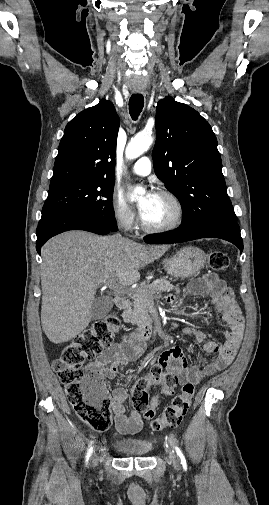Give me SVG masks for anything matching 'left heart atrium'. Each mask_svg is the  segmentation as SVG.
I'll list each match as a JSON object with an SVG mask.
<instances>
[{
    "instance_id": "1",
    "label": "left heart atrium",
    "mask_w": 269,
    "mask_h": 505,
    "mask_svg": "<svg viewBox=\"0 0 269 505\" xmlns=\"http://www.w3.org/2000/svg\"><path fill=\"white\" fill-rule=\"evenodd\" d=\"M156 195L157 194L153 191H150L145 195L144 201L139 206V211H140V214L142 217L147 213V211H148L151 203L154 201Z\"/></svg>"
}]
</instances>
